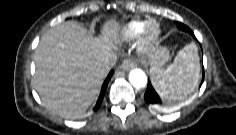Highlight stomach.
Segmentation results:
<instances>
[{"instance_id":"obj_1","label":"stomach","mask_w":236,"mask_h":135,"mask_svg":"<svg viewBox=\"0 0 236 135\" xmlns=\"http://www.w3.org/2000/svg\"><path fill=\"white\" fill-rule=\"evenodd\" d=\"M169 60V51L166 47L155 46L149 53L150 74L153 76L152 69L162 67Z\"/></svg>"}]
</instances>
